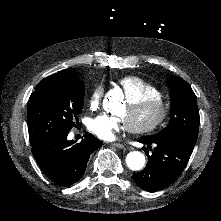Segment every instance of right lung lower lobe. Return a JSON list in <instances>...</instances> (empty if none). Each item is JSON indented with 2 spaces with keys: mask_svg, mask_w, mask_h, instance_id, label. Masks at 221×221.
<instances>
[{
  "mask_svg": "<svg viewBox=\"0 0 221 221\" xmlns=\"http://www.w3.org/2000/svg\"><path fill=\"white\" fill-rule=\"evenodd\" d=\"M68 141L67 135L32 144V153L43 172L54 183L70 186L80 180L91 153L102 146L90 133L80 143Z\"/></svg>",
  "mask_w": 221,
  "mask_h": 221,
  "instance_id": "right-lung-lower-lobe-1",
  "label": "right lung lower lobe"
}]
</instances>
